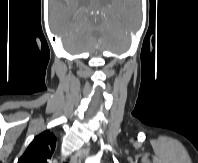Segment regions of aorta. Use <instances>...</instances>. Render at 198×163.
<instances>
[{"instance_id": "762f6f07", "label": "aorta", "mask_w": 198, "mask_h": 163, "mask_svg": "<svg viewBox=\"0 0 198 163\" xmlns=\"http://www.w3.org/2000/svg\"><path fill=\"white\" fill-rule=\"evenodd\" d=\"M85 163H99V160H97L95 157L88 158Z\"/></svg>"}]
</instances>
